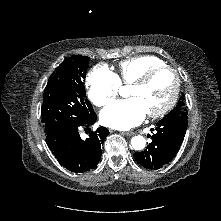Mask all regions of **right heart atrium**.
Segmentation results:
<instances>
[{"label": "right heart atrium", "mask_w": 221, "mask_h": 221, "mask_svg": "<svg viewBox=\"0 0 221 221\" xmlns=\"http://www.w3.org/2000/svg\"><path fill=\"white\" fill-rule=\"evenodd\" d=\"M86 85L90 101L98 107H103L118 95L121 84L112 71L98 65L88 73Z\"/></svg>", "instance_id": "1"}]
</instances>
